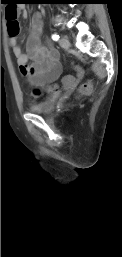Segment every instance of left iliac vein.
Instances as JSON below:
<instances>
[{"label":"left iliac vein","mask_w":122,"mask_h":257,"mask_svg":"<svg viewBox=\"0 0 122 257\" xmlns=\"http://www.w3.org/2000/svg\"><path fill=\"white\" fill-rule=\"evenodd\" d=\"M59 44L64 49H67V48L70 47V42H69L67 36H62L60 41H59Z\"/></svg>","instance_id":"4c4485c4"}]
</instances>
